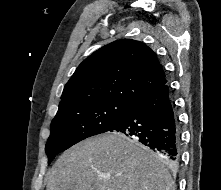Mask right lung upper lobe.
<instances>
[{
	"instance_id": "cb5924a9",
	"label": "right lung upper lobe",
	"mask_w": 221,
	"mask_h": 190,
	"mask_svg": "<svg viewBox=\"0 0 221 190\" xmlns=\"http://www.w3.org/2000/svg\"><path fill=\"white\" fill-rule=\"evenodd\" d=\"M166 83L165 72L147 45L121 39L98 49L78 66L64 87L59 109L98 100L132 105Z\"/></svg>"
}]
</instances>
